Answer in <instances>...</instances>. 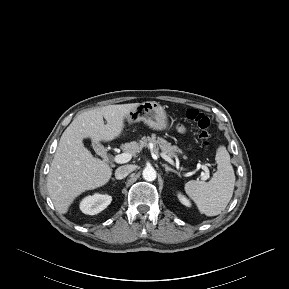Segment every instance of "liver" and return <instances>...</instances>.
<instances>
[{
  "mask_svg": "<svg viewBox=\"0 0 289 289\" xmlns=\"http://www.w3.org/2000/svg\"><path fill=\"white\" fill-rule=\"evenodd\" d=\"M138 105H108L83 112L63 132L47 177L48 194L59 213L66 214L76 197L105 185L112 176L111 167L94 157L83 139L99 143L120 137L127 115Z\"/></svg>",
  "mask_w": 289,
  "mask_h": 289,
  "instance_id": "6515ba94",
  "label": "liver"
}]
</instances>
